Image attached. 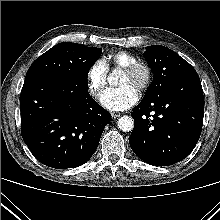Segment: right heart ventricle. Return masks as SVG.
Wrapping results in <instances>:
<instances>
[{"mask_svg": "<svg viewBox=\"0 0 220 220\" xmlns=\"http://www.w3.org/2000/svg\"><path fill=\"white\" fill-rule=\"evenodd\" d=\"M137 61L138 59L135 55L126 51H117L107 57L106 63L108 66L110 65L117 68H125L126 66Z\"/></svg>", "mask_w": 220, "mask_h": 220, "instance_id": "e07e8e85", "label": "right heart ventricle"}]
</instances>
